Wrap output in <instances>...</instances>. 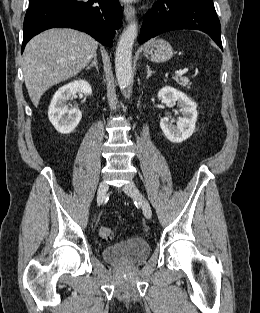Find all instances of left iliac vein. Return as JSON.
Here are the masks:
<instances>
[{"instance_id":"left-iliac-vein-1","label":"left iliac vein","mask_w":260,"mask_h":313,"mask_svg":"<svg viewBox=\"0 0 260 313\" xmlns=\"http://www.w3.org/2000/svg\"><path fill=\"white\" fill-rule=\"evenodd\" d=\"M123 190L128 196H130L132 199L139 203V205L142 208L144 216L147 219H150L152 217L151 206L147 199L144 196H142V194L139 192L135 183L133 181L128 182L123 186Z\"/></svg>"}]
</instances>
